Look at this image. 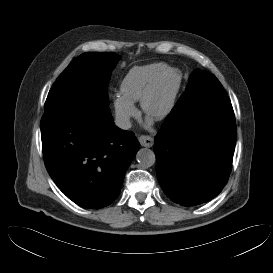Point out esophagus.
Returning <instances> with one entry per match:
<instances>
[{
  "mask_svg": "<svg viewBox=\"0 0 273 273\" xmlns=\"http://www.w3.org/2000/svg\"><path fill=\"white\" fill-rule=\"evenodd\" d=\"M139 142L141 146L150 148L154 144V139L151 136L148 135H141L139 136Z\"/></svg>",
  "mask_w": 273,
  "mask_h": 273,
  "instance_id": "34e87169",
  "label": "esophagus"
}]
</instances>
